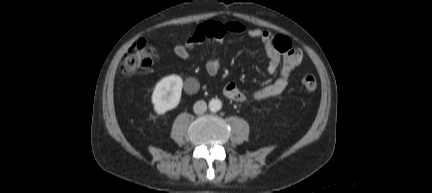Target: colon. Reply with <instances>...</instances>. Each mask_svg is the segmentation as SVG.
Instances as JSON below:
<instances>
[{"label": "colon", "instance_id": "colon-1", "mask_svg": "<svg viewBox=\"0 0 432 193\" xmlns=\"http://www.w3.org/2000/svg\"><path fill=\"white\" fill-rule=\"evenodd\" d=\"M224 31L220 27L214 28L212 31L205 34L203 40H215L222 38ZM158 61V54L144 39L138 40L125 54V57L120 65V71L126 76L135 74L140 69L150 68ZM302 87L312 92L317 88V80L313 74H306L301 78Z\"/></svg>", "mask_w": 432, "mask_h": 193}]
</instances>
